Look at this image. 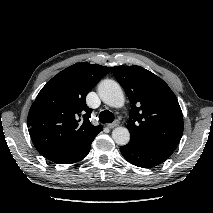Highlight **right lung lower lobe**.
<instances>
[{
  "mask_svg": "<svg viewBox=\"0 0 213 213\" xmlns=\"http://www.w3.org/2000/svg\"><path fill=\"white\" fill-rule=\"evenodd\" d=\"M96 136L87 140L85 143L79 147L66 150V151H56L42 154L46 159L60 164H71L82 160L90 151L91 143Z\"/></svg>",
  "mask_w": 213,
  "mask_h": 213,
  "instance_id": "obj_1",
  "label": "right lung lower lobe"
}]
</instances>
